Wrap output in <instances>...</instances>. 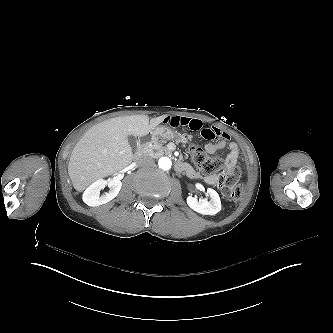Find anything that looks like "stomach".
<instances>
[{
    "label": "stomach",
    "mask_w": 333,
    "mask_h": 333,
    "mask_svg": "<svg viewBox=\"0 0 333 333\" xmlns=\"http://www.w3.org/2000/svg\"><path fill=\"white\" fill-rule=\"evenodd\" d=\"M157 139H165V140H170L172 139L173 141H181L189 146L192 144H196L197 142L194 139V136L191 133H180V132H175L172 130L170 127L166 125H159L155 127L148 135H146V140L142 142V144L150 143L152 141H155Z\"/></svg>",
    "instance_id": "1"
}]
</instances>
